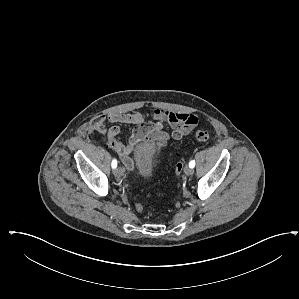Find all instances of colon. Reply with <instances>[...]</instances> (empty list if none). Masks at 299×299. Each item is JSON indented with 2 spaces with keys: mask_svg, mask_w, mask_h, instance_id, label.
<instances>
[{
  "mask_svg": "<svg viewBox=\"0 0 299 299\" xmlns=\"http://www.w3.org/2000/svg\"><path fill=\"white\" fill-rule=\"evenodd\" d=\"M94 129L96 132L100 133V134H104L107 132V127L106 124L103 120H97L94 123ZM195 136L197 138V140L201 141V142H207L210 140V134L208 131L206 130H197L195 133ZM183 170V165L180 163L176 166V176L180 177L181 173ZM135 208L137 211H142L143 210V205L140 203H137L135 205Z\"/></svg>",
  "mask_w": 299,
  "mask_h": 299,
  "instance_id": "1",
  "label": "colon"
}]
</instances>
